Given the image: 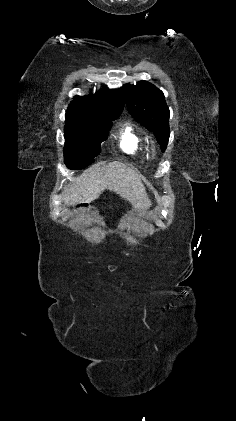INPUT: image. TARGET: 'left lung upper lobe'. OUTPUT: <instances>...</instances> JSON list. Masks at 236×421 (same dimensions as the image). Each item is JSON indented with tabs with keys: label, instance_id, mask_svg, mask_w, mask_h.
Wrapping results in <instances>:
<instances>
[{
	"label": "left lung upper lobe",
	"instance_id": "1",
	"mask_svg": "<svg viewBox=\"0 0 236 421\" xmlns=\"http://www.w3.org/2000/svg\"><path fill=\"white\" fill-rule=\"evenodd\" d=\"M129 113L149 131H152L164 152L169 140V109L164 94L147 81L122 88Z\"/></svg>",
	"mask_w": 236,
	"mask_h": 421
}]
</instances>
